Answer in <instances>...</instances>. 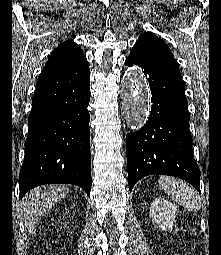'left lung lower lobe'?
<instances>
[{
    "instance_id": "0a47b994",
    "label": "left lung lower lobe",
    "mask_w": 221,
    "mask_h": 255,
    "mask_svg": "<svg viewBox=\"0 0 221 255\" xmlns=\"http://www.w3.org/2000/svg\"><path fill=\"white\" fill-rule=\"evenodd\" d=\"M142 68L151 87V113L140 131L127 134L129 189L151 174L179 177L200 192L192 152L188 102L182 78L143 51L132 48L125 65Z\"/></svg>"
}]
</instances>
